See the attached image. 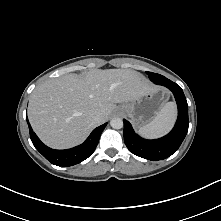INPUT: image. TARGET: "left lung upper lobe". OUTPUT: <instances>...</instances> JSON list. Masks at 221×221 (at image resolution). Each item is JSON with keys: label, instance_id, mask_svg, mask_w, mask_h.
Here are the masks:
<instances>
[{"label": "left lung upper lobe", "instance_id": "obj_1", "mask_svg": "<svg viewBox=\"0 0 221 221\" xmlns=\"http://www.w3.org/2000/svg\"><path fill=\"white\" fill-rule=\"evenodd\" d=\"M146 73L148 74L150 80L154 82L155 84H161L162 82L169 80L160 74H156L152 72H146Z\"/></svg>", "mask_w": 221, "mask_h": 221}]
</instances>
